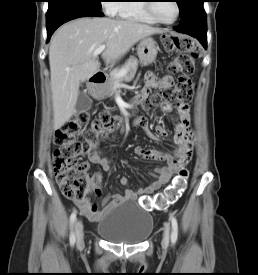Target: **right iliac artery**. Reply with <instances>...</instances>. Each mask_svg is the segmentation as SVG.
I'll return each mask as SVG.
<instances>
[{
  "mask_svg": "<svg viewBox=\"0 0 258 275\" xmlns=\"http://www.w3.org/2000/svg\"><path fill=\"white\" fill-rule=\"evenodd\" d=\"M76 215H77V211L74 210L70 216V225H71V232H70V245L71 246H74L75 244V241H76V238H75V234H74V231H73V225H74V222L76 220Z\"/></svg>",
  "mask_w": 258,
  "mask_h": 275,
  "instance_id": "obj_1",
  "label": "right iliac artery"
}]
</instances>
